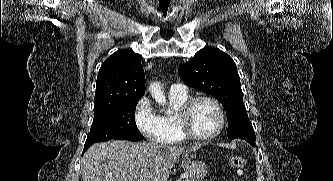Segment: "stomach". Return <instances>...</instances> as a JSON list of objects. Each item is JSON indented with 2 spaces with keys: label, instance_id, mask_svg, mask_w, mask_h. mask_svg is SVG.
Returning <instances> with one entry per match:
<instances>
[{
  "label": "stomach",
  "instance_id": "1",
  "mask_svg": "<svg viewBox=\"0 0 333 181\" xmlns=\"http://www.w3.org/2000/svg\"><path fill=\"white\" fill-rule=\"evenodd\" d=\"M196 154L193 151H186L183 154V169L190 177L196 181H201L208 174L206 164L201 160H196Z\"/></svg>",
  "mask_w": 333,
  "mask_h": 181
}]
</instances>
